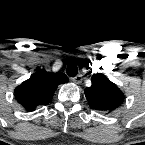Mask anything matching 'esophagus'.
I'll list each match as a JSON object with an SVG mask.
<instances>
[{
	"label": "esophagus",
	"mask_w": 145,
	"mask_h": 145,
	"mask_svg": "<svg viewBox=\"0 0 145 145\" xmlns=\"http://www.w3.org/2000/svg\"><path fill=\"white\" fill-rule=\"evenodd\" d=\"M72 81H73L74 83H76V84L81 83V81H82V74H78L77 76L73 77V78H72Z\"/></svg>",
	"instance_id": "esophagus-1"
}]
</instances>
